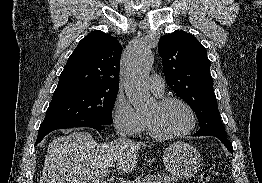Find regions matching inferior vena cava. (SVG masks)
I'll use <instances>...</instances> for the list:
<instances>
[{"label":"inferior vena cava","instance_id":"1","mask_svg":"<svg viewBox=\"0 0 262 183\" xmlns=\"http://www.w3.org/2000/svg\"><path fill=\"white\" fill-rule=\"evenodd\" d=\"M116 134H117L118 136H121L123 139H127L126 136H125V134H123L118 128H117V130H116Z\"/></svg>","mask_w":262,"mask_h":183}]
</instances>
